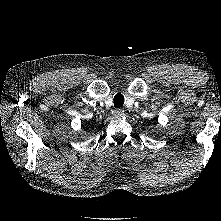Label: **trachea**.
Segmentation results:
<instances>
[{
	"label": "trachea",
	"mask_w": 221,
	"mask_h": 221,
	"mask_svg": "<svg viewBox=\"0 0 221 221\" xmlns=\"http://www.w3.org/2000/svg\"><path fill=\"white\" fill-rule=\"evenodd\" d=\"M113 101L115 107H122L124 104V96L122 94H117L115 95Z\"/></svg>",
	"instance_id": "trachea-1"
}]
</instances>
